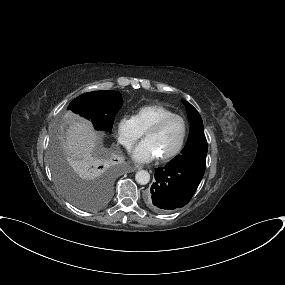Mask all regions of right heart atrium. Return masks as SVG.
Instances as JSON below:
<instances>
[{
	"instance_id": "right-heart-atrium-1",
	"label": "right heart atrium",
	"mask_w": 285,
	"mask_h": 285,
	"mask_svg": "<svg viewBox=\"0 0 285 285\" xmlns=\"http://www.w3.org/2000/svg\"><path fill=\"white\" fill-rule=\"evenodd\" d=\"M115 130L118 141L127 149H130L142 135V131L137 127L134 117L129 115L121 116L118 119Z\"/></svg>"
}]
</instances>
